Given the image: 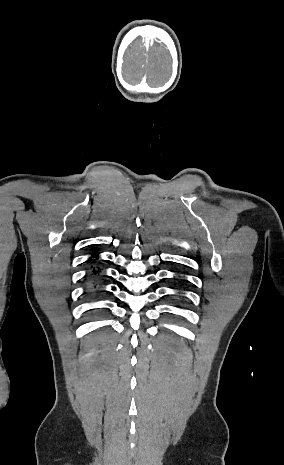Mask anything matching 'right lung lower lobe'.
<instances>
[{
  "label": "right lung lower lobe",
  "instance_id": "right-lung-lower-lobe-1",
  "mask_svg": "<svg viewBox=\"0 0 284 465\" xmlns=\"http://www.w3.org/2000/svg\"><path fill=\"white\" fill-rule=\"evenodd\" d=\"M88 262L92 264V266L90 268L91 272H90L88 277H89L91 283L94 285V286H92V288H96V285L98 284L96 279L97 278L100 279L102 277V275L99 274L101 272V268L97 266V264H98V253L93 251L91 253V257L89 258ZM95 263H96V265L93 266ZM93 293L97 294L98 291L95 290Z\"/></svg>",
  "mask_w": 284,
  "mask_h": 465
}]
</instances>
